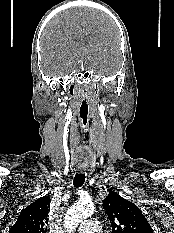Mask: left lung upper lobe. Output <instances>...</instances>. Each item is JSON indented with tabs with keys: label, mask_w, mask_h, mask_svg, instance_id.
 <instances>
[{
	"label": "left lung upper lobe",
	"mask_w": 174,
	"mask_h": 233,
	"mask_svg": "<svg viewBox=\"0 0 174 233\" xmlns=\"http://www.w3.org/2000/svg\"><path fill=\"white\" fill-rule=\"evenodd\" d=\"M112 233H153L142 211L132 202L110 191L103 200Z\"/></svg>",
	"instance_id": "left-lung-upper-lobe-1"
}]
</instances>
